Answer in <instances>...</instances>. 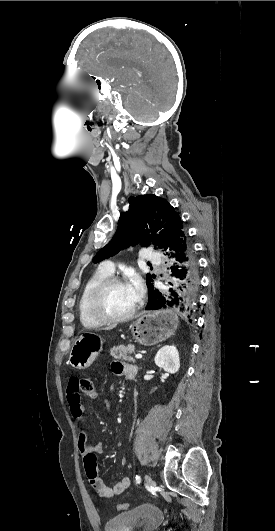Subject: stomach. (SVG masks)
<instances>
[{
    "label": "stomach",
    "instance_id": "0dacf381",
    "mask_svg": "<svg viewBox=\"0 0 275 531\" xmlns=\"http://www.w3.org/2000/svg\"><path fill=\"white\" fill-rule=\"evenodd\" d=\"M179 325L178 317L174 311H150L143 313L130 325L133 339L144 347H152L156 343L165 341L174 335ZM103 341L96 333H84L74 341L70 355L69 365L74 369H87L102 351Z\"/></svg>",
    "mask_w": 275,
    "mask_h": 531
}]
</instances>
